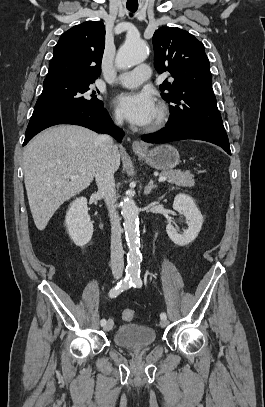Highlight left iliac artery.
<instances>
[{"label": "left iliac artery", "mask_w": 265, "mask_h": 407, "mask_svg": "<svg viewBox=\"0 0 265 407\" xmlns=\"http://www.w3.org/2000/svg\"><path fill=\"white\" fill-rule=\"evenodd\" d=\"M132 286H133V287H138V288H140V287L142 286V280H141V278H139V277L134 278L133 281H132ZM160 318H161V319H167L166 313L162 312V313L160 314Z\"/></svg>", "instance_id": "44dca946"}]
</instances>
